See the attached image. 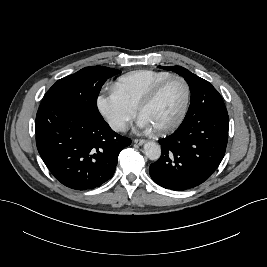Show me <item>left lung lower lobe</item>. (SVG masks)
<instances>
[{
  "label": "left lung lower lobe",
  "instance_id": "left-lung-lower-lobe-1",
  "mask_svg": "<svg viewBox=\"0 0 267 267\" xmlns=\"http://www.w3.org/2000/svg\"><path fill=\"white\" fill-rule=\"evenodd\" d=\"M206 102L193 106V115L170 136L160 139L161 157L150 165L158 185L175 191L206 181L224 157L228 141V114H219Z\"/></svg>",
  "mask_w": 267,
  "mask_h": 267
}]
</instances>
